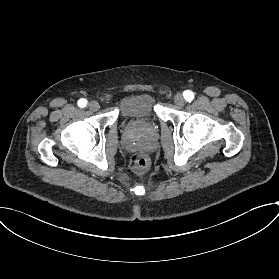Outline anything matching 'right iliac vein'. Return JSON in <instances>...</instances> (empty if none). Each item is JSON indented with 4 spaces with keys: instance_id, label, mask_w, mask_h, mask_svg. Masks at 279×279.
I'll return each instance as SVG.
<instances>
[{
    "instance_id": "obj_1",
    "label": "right iliac vein",
    "mask_w": 279,
    "mask_h": 279,
    "mask_svg": "<svg viewBox=\"0 0 279 279\" xmlns=\"http://www.w3.org/2000/svg\"><path fill=\"white\" fill-rule=\"evenodd\" d=\"M88 107H89V109L92 110V111H97V110H99L100 105H99V103H98L97 101H91V102L88 104Z\"/></svg>"
}]
</instances>
